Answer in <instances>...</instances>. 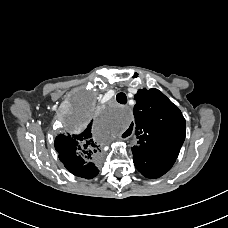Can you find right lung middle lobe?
<instances>
[{
  "label": "right lung middle lobe",
  "mask_w": 228,
  "mask_h": 228,
  "mask_svg": "<svg viewBox=\"0 0 228 228\" xmlns=\"http://www.w3.org/2000/svg\"><path fill=\"white\" fill-rule=\"evenodd\" d=\"M94 111L92 100L86 96H80L76 105L75 112L70 116L74 125L79 128L86 124Z\"/></svg>",
  "instance_id": "right-lung-middle-lobe-1"
}]
</instances>
